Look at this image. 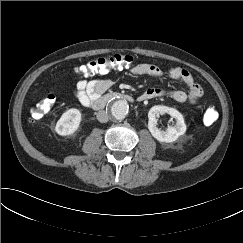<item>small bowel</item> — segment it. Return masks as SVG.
Instances as JSON below:
<instances>
[{"mask_svg":"<svg viewBox=\"0 0 243 243\" xmlns=\"http://www.w3.org/2000/svg\"><path fill=\"white\" fill-rule=\"evenodd\" d=\"M129 72L131 75H148L153 78H162L164 76V72L158 66L147 63L135 65ZM167 76L183 83L187 90H172L167 92L158 88H148L140 95L142 100H150L166 95L180 103L188 102L194 104L202 97V88L194 82L187 70L179 67L170 68L167 71ZM111 85L112 81L107 78L81 79L75 85L73 94L80 104L91 106L92 102L109 89Z\"/></svg>","mask_w":243,"mask_h":243,"instance_id":"1","label":"small bowel"}]
</instances>
